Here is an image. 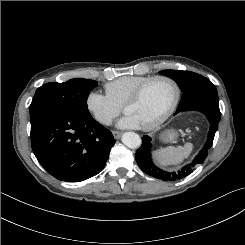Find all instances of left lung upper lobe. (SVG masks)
Returning <instances> with one entry per match:
<instances>
[{
  "mask_svg": "<svg viewBox=\"0 0 245 245\" xmlns=\"http://www.w3.org/2000/svg\"><path fill=\"white\" fill-rule=\"evenodd\" d=\"M159 73L175 80L183 92L176 113L196 103H219L217 89L206 77L181 70H162Z\"/></svg>",
  "mask_w": 245,
  "mask_h": 245,
  "instance_id": "1",
  "label": "left lung upper lobe"
}]
</instances>
